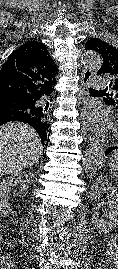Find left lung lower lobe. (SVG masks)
I'll return each mask as SVG.
<instances>
[{"label":"left lung lower lobe","instance_id":"0a47b994","mask_svg":"<svg viewBox=\"0 0 118 269\" xmlns=\"http://www.w3.org/2000/svg\"><path fill=\"white\" fill-rule=\"evenodd\" d=\"M118 149V146H113V147H109L106 149L105 151V155L111 153L113 150H117Z\"/></svg>","mask_w":118,"mask_h":269}]
</instances>
